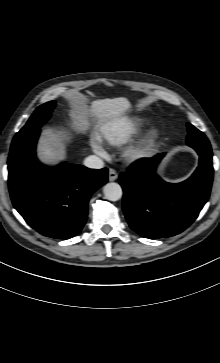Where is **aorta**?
<instances>
[{"mask_svg":"<svg viewBox=\"0 0 220 363\" xmlns=\"http://www.w3.org/2000/svg\"><path fill=\"white\" fill-rule=\"evenodd\" d=\"M104 196L107 200L117 201L121 199L123 191L118 183H107L103 188Z\"/></svg>","mask_w":220,"mask_h":363,"instance_id":"obj_1","label":"aorta"}]
</instances>
